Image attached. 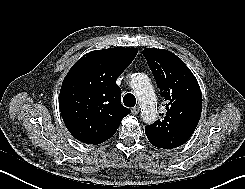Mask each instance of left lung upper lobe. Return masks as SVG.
Masks as SVG:
<instances>
[{
  "mask_svg": "<svg viewBox=\"0 0 245 189\" xmlns=\"http://www.w3.org/2000/svg\"><path fill=\"white\" fill-rule=\"evenodd\" d=\"M164 97L166 112L146 126L145 134L155 147L173 149L193 134L202 111V94L195 76L174 53L155 48L142 52Z\"/></svg>",
  "mask_w": 245,
  "mask_h": 189,
  "instance_id": "1",
  "label": "left lung upper lobe"
}]
</instances>
